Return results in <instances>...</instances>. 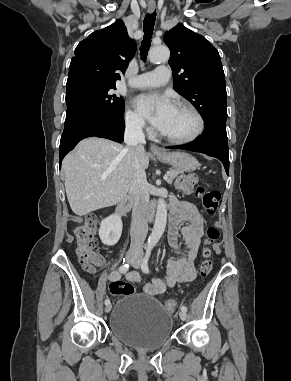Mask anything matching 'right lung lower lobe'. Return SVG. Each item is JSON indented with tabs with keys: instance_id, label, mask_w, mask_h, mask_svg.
<instances>
[{
	"instance_id": "right-lung-lower-lobe-1",
	"label": "right lung lower lobe",
	"mask_w": 291,
	"mask_h": 381,
	"mask_svg": "<svg viewBox=\"0 0 291 381\" xmlns=\"http://www.w3.org/2000/svg\"><path fill=\"white\" fill-rule=\"evenodd\" d=\"M124 129L123 115L111 114L99 117L83 102H68L64 131L59 147L60 168L64 156L80 140L96 136L122 142Z\"/></svg>"
}]
</instances>
